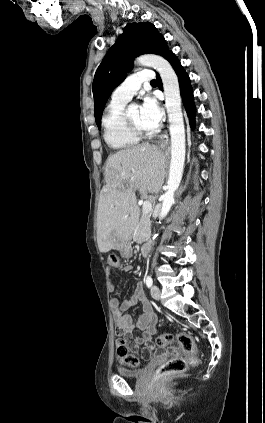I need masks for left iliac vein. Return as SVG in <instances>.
I'll list each match as a JSON object with an SVG mask.
<instances>
[{"label":"left iliac vein","instance_id":"1","mask_svg":"<svg viewBox=\"0 0 265 423\" xmlns=\"http://www.w3.org/2000/svg\"><path fill=\"white\" fill-rule=\"evenodd\" d=\"M160 295H161L160 289L156 285H153L152 288H151V296L155 300H159L160 299Z\"/></svg>","mask_w":265,"mask_h":423}]
</instances>
